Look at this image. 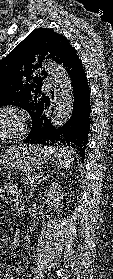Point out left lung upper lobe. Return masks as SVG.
<instances>
[{
	"instance_id": "1",
	"label": "left lung upper lobe",
	"mask_w": 113,
	"mask_h": 279,
	"mask_svg": "<svg viewBox=\"0 0 113 279\" xmlns=\"http://www.w3.org/2000/svg\"><path fill=\"white\" fill-rule=\"evenodd\" d=\"M75 50L65 36L53 30L39 28L32 31L5 58L0 60V106L15 104L26 110L33 121L36 105L45 95L41 82L47 77L40 70L46 58L63 64Z\"/></svg>"
}]
</instances>
